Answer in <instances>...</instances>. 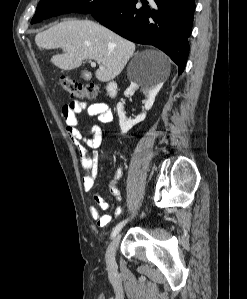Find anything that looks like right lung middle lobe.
<instances>
[{"instance_id":"right-lung-middle-lobe-1","label":"right lung middle lobe","mask_w":247,"mask_h":299,"mask_svg":"<svg viewBox=\"0 0 247 299\" xmlns=\"http://www.w3.org/2000/svg\"><path fill=\"white\" fill-rule=\"evenodd\" d=\"M122 0H40L31 23L68 13L90 14Z\"/></svg>"}]
</instances>
